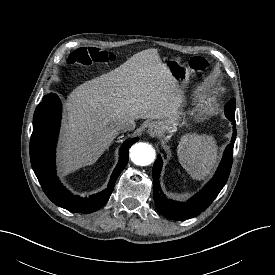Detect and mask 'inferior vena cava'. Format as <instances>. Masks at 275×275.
<instances>
[{"instance_id":"1","label":"inferior vena cava","mask_w":275,"mask_h":275,"mask_svg":"<svg viewBox=\"0 0 275 275\" xmlns=\"http://www.w3.org/2000/svg\"><path fill=\"white\" fill-rule=\"evenodd\" d=\"M116 128L121 132L131 131L135 128V121L132 118L120 119L116 124Z\"/></svg>"}]
</instances>
